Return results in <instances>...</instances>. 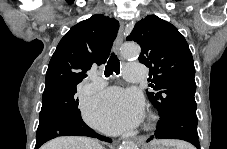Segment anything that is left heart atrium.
Returning <instances> with one entry per match:
<instances>
[{
    "instance_id": "39dd6f15",
    "label": "left heart atrium",
    "mask_w": 227,
    "mask_h": 149,
    "mask_svg": "<svg viewBox=\"0 0 227 149\" xmlns=\"http://www.w3.org/2000/svg\"><path fill=\"white\" fill-rule=\"evenodd\" d=\"M140 94L121 88H109L93 97L85 107V118L93 126L110 134L135 127L143 116Z\"/></svg>"
}]
</instances>
